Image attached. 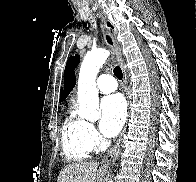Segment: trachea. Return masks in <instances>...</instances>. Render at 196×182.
I'll return each instance as SVG.
<instances>
[{"label":"trachea","instance_id":"obj_1","mask_svg":"<svg viewBox=\"0 0 196 182\" xmlns=\"http://www.w3.org/2000/svg\"><path fill=\"white\" fill-rule=\"evenodd\" d=\"M115 76L119 79V80H122L123 78V74H122V70L119 66H116L113 70Z\"/></svg>","mask_w":196,"mask_h":182}]
</instances>
